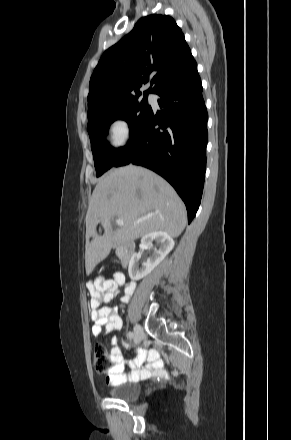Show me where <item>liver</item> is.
Segmentation results:
<instances>
[{
  "mask_svg": "<svg viewBox=\"0 0 291 440\" xmlns=\"http://www.w3.org/2000/svg\"><path fill=\"white\" fill-rule=\"evenodd\" d=\"M112 218L124 221L116 233ZM98 223L103 236L97 235ZM186 223L183 201L162 177L134 165L110 171L97 183L86 214V274L108 256L113 243L124 244L155 231L178 237Z\"/></svg>",
  "mask_w": 291,
  "mask_h": 440,
  "instance_id": "1",
  "label": "liver"
}]
</instances>
